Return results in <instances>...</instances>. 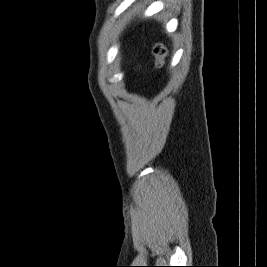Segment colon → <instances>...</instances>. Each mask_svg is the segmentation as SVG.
Segmentation results:
<instances>
[{"instance_id": "obj_1", "label": "colon", "mask_w": 267, "mask_h": 267, "mask_svg": "<svg viewBox=\"0 0 267 267\" xmlns=\"http://www.w3.org/2000/svg\"><path fill=\"white\" fill-rule=\"evenodd\" d=\"M155 65L162 67L167 55V48L163 44H156L152 49Z\"/></svg>"}]
</instances>
